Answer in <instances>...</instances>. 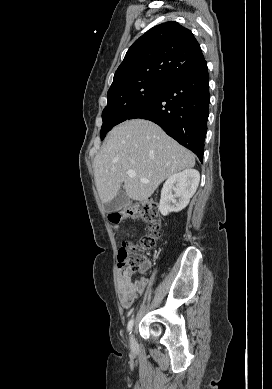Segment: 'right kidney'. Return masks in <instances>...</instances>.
<instances>
[{
    "label": "right kidney",
    "instance_id": "1",
    "mask_svg": "<svg viewBox=\"0 0 272 389\" xmlns=\"http://www.w3.org/2000/svg\"><path fill=\"white\" fill-rule=\"evenodd\" d=\"M200 174L195 169H186L170 176L163 185L159 210L163 216L183 210L197 190ZM174 192V194H173Z\"/></svg>",
    "mask_w": 272,
    "mask_h": 389
}]
</instances>
